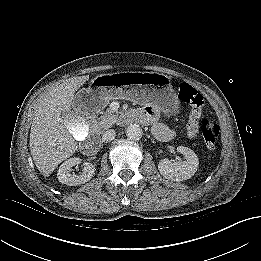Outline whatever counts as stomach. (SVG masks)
I'll list each match as a JSON object with an SVG mask.
<instances>
[{
  "mask_svg": "<svg viewBox=\"0 0 261 261\" xmlns=\"http://www.w3.org/2000/svg\"><path fill=\"white\" fill-rule=\"evenodd\" d=\"M169 82L168 76L156 72H120L97 76L87 89H82L90 96L86 110L97 112L111 99L157 103L162 109H175L179 103Z\"/></svg>",
  "mask_w": 261,
  "mask_h": 261,
  "instance_id": "stomach-1",
  "label": "stomach"
}]
</instances>
